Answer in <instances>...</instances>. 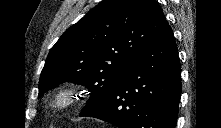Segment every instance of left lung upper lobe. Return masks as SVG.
I'll return each instance as SVG.
<instances>
[{
  "instance_id": "left-lung-upper-lobe-1",
  "label": "left lung upper lobe",
  "mask_w": 221,
  "mask_h": 128,
  "mask_svg": "<svg viewBox=\"0 0 221 128\" xmlns=\"http://www.w3.org/2000/svg\"><path fill=\"white\" fill-rule=\"evenodd\" d=\"M167 21L154 0H103L69 27L51 48L39 97L65 81L86 85L91 97L81 113L103 103Z\"/></svg>"
}]
</instances>
